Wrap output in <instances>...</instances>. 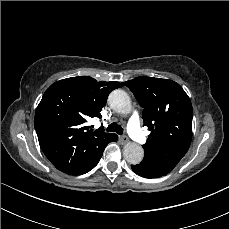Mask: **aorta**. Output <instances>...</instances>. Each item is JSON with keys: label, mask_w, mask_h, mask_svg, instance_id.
Wrapping results in <instances>:
<instances>
[{"label": "aorta", "mask_w": 229, "mask_h": 229, "mask_svg": "<svg viewBox=\"0 0 229 229\" xmlns=\"http://www.w3.org/2000/svg\"><path fill=\"white\" fill-rule=\"evenodd\" d=\"M108 103L114 111L120 114H128L132 109L129 95L121 89H116L110 93ZM123 156L129 164L136 165L143 160L144 150L141 145L128 142L123 148Z\"/></svg>", "instance_id": "1"}]
</instances>
